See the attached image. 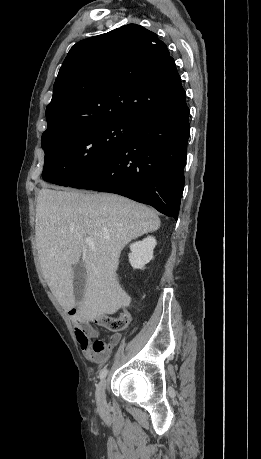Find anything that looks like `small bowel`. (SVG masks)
<instances>
[{
  "instance_id": "small-bowel-1",
  "label": "small bowel",
  "mask_w": 261,
  "mask_h": 459,
  "mask_svg": "<svg viewBox=\"0 0 261 459\" xmlns=\"http://www.w3.org/2000/svg\"><path fill=\"white\" fill-rule=\"evenodd\" d=\"M122 314L126 317L127 321L130 319V314L126 309H122ZM74 333L84 356L96 364L107 361L112 348L120 340V335L116 334L111 337L109 342H106L99 337V333L95 328L80 320L75 322Z\"/></svg>"
}]
</instances>
